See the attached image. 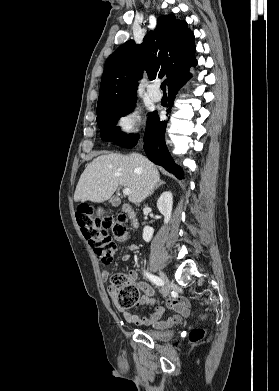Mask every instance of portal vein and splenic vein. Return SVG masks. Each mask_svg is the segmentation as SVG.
<instances>
[{
  "instance_id": "portal-vein-and-splenic-vein-1",
  "label": "portal vein and splenic vein",
  "mask_w": 279,
  "mask_h": 391,
  "mask_svg": "<svg viewBox=\"0 0 279 391\" xmlns=\"http://www.w3.org/2000/svg\"><path fill=\"white\" fill-rule=\"evenodd\" d=\"M123 194L124 195H130L131 194V190L129 188H123Z\"/></svg>"
}]
</instances>
